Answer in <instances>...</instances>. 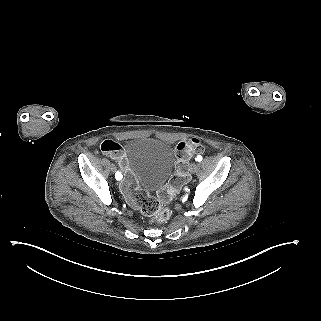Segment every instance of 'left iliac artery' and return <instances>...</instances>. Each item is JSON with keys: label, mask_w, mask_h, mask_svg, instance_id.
<instances>
[{"label": "left iliac artery", "mask_w": 321, "mask_h": 321, "mask_svg": "<svg viewBox=\"0 0 321 321\" xmlns=\"http://www.w3.org/2000/svg\"><path fill=\"white\" fill-rule=\"evenodd\" d=\"M196 161H198V162L202 161V156L198 155V156L196 157Z\"/></svg>", "instance_id": "1"}]
</instances>
